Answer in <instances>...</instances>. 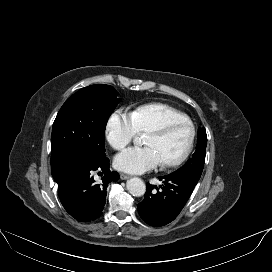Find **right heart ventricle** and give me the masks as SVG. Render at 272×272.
<instances>
[{"label":"right heart ventricle","mask_w":272,"mask_h":272,"mask_svg":"<svg viewBox=\"0 0 272 272\" xmlns=\"http://www.w3.org/2000/svg\"><path fill=\"white\" fill-rule=\"evenodd\" d=\"M132 115L139 133H147L169 121L188 120L180 110L159 102L141 105L134 109Z\"/></svg>","instance_id":"right-heart-ventricle-1"}]
</instances>
